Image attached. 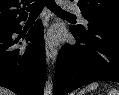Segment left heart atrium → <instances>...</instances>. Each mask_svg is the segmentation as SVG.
Listing matches in <instances>:
<instances>
[{
    "mask_svg": "<svg viewBox=\"0 0 119 95\" xmlns=\"http://www.w3.org/2000/svg\"><path fill=\"white\" fill-rule=\"evenodd\" d=\"M58 38H59V31L57 29H52L47 33V39L51 43L56 42Z\"/></svg>",
    "mask_w": 119,
    "mask_h": 95,
    "instance_id": "1",
    "label": "left heart atrium"
}]
</instances>
